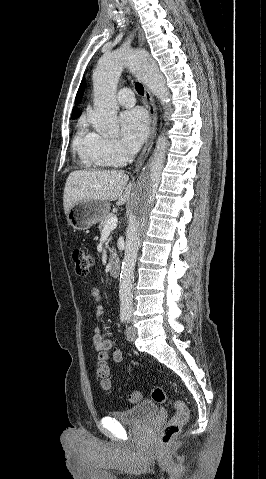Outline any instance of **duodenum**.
<instances>
[{
    "label": "duodenum",
    "mask_w": 266,
    "mask_h": 479,
    "mask_svg": "<svg viewBox=\"0 0 266 479\" xmlns=\"http://www.w3.org/2000/svg\"><path fill=\"white\" fill-rule=\"evenodd\" d=\"M109 271L112 277H118L120 273V259L117 253H111L109 256Z\"/></svg>",
    "instance_id": "duodenum-1"
}]
</instances>
